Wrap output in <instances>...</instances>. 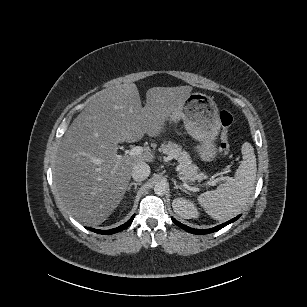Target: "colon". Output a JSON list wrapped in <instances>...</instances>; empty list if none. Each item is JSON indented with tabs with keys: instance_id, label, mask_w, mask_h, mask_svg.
<instances>
[{
	"instance_id": "1",
	"label": "colon",
	"mask_w": 307,
	"mask_h": 307,
	"mask_svg": "<svg viewBox=\"0 0 307 307\" xmlns=\"http://www.w3.org/2000/svg\"><path fill=\"white\" fill-rule=\"evenodd\" d=\"M219 119L221 123V132H220V152L223 155L229 153V129L233 122L232 114L227 110H222L219 114Z\"/></svg>"
}]
</instances>
